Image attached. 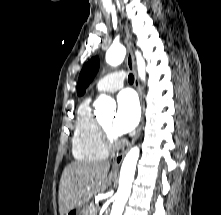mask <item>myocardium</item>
<instances>
[{
	"mask_svg": "<svg viewBox=\"0 0 221 215\" xmlns=\"http://www.w3.org/2000/svg\"><path fill=\"white\" fill-rule=\"evenodd\" d=\"M99 127L105 146L107 148L114 147L116 145L117 139L116 136L113 134L111 128L107 127L102 122H99Z\"/></svg>",
	"mask_w": 221,
	"mask_h": 215,
	"instance_id": "1",
	"label": "myocardium"
}]
</instances>
